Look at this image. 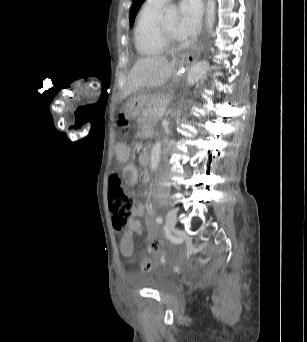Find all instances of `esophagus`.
I'll return each mask as SVG.
<instances>
[{"label": "esophagus", "mask_w": 307, "mask_h": 342, "mask_svg": "<svg viewBox=\"0 0 307 342\" xmlns=\"http://www.w3.org/2000/svg\"><path fill=\"white\" fill-rule=\"evenodd\" d=\"M200 52H201L200 47H196L190 53L185 55L183 60L185 62H188L189 64L194 63L196 60H198L200 56Z\"/></svg>", "instance_id": "esophagus-1"}]
</instances>
